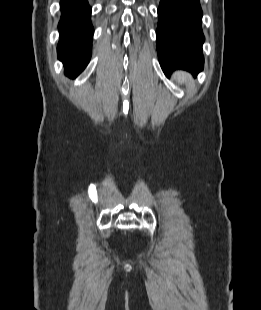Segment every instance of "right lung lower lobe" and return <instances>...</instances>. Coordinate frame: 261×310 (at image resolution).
<instances>
[{
    "instance_id": "obj_1",
    "label": "right lung lower lobe",
    "mask_w": 261,
    "mask_h": 310,
    "mask_svg": "<svg viewBox=\"0 0 261 310\" xmlns=\"http://www.w3.org/2000/svg\"><path fill=\"white\" fill-rule=\"evenodd\" d=\"M60 9L58 58L65 66V74L75 78L91 57L94 32L90 21L91 7L87 0H61Z\"/></svg>"
}]
</instances>
